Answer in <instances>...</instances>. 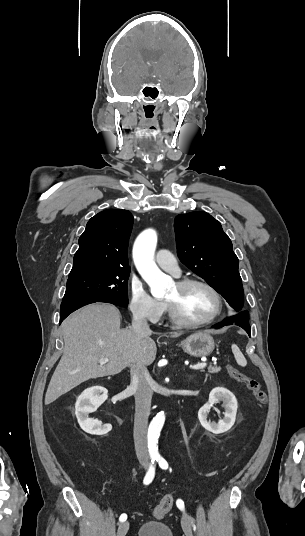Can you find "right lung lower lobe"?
Here are the masks:
<instances>
[{
	"label": "right lung lower lobe",
	"instance_id": "obj_1",
	"mask_svg": "<svg viewBox=\"0 0 305 536\" xmlns=\"http://www.w3.org/2000/svg\"><path fill=\"white\" fill-rule=\"evenodd\" d=\"M94 303L93 301H76L62 303L60 308V323L73 311L87 304Z\"/></svg>",
	"mask_w": 305,
	"mask_h": 536
}]
</instances>
